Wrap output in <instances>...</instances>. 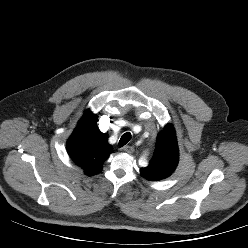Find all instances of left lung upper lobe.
I'll return each instance as SVG.
<instances>
[{
	"label": "left lung upper lobe",
	"instance_id": "5c2ea615",
	"mask_svg": "<svg viewBox=\"0 0 248 248\" xmlns=\"http://www.w3.org/2000/svg\"><path fill=\"white\" fill-rule=\"evenodd\" d=\"M179 161V151L175 131L167 124L158 134L154 155L147 167L141 168L143 178L149 181H160L168 178L176 169Z\"/></svg>",
	"mask_w": 248,
	"mask_h": 248
}]
</instances>
